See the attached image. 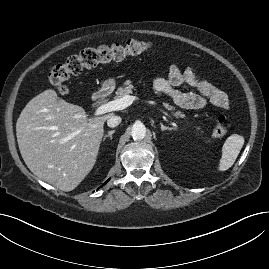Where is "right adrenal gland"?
<instances>
[{"label":"right adrenal gland","instance_id":"2a0ac1e0","mask_svg":"<svg viewBox=\"0 0 269 269\" xmlns=\"http://www.w3.org/2000/svg\"><path fill=\"white\" fill-rule=\"evenodd\" d=\"M115 133V130H111L108 132V134L104 135L103 140H105L107 137H110V139L112 140V135Z\"/></svg>","mask_w":269,"mask_h":269}]
</instances>
